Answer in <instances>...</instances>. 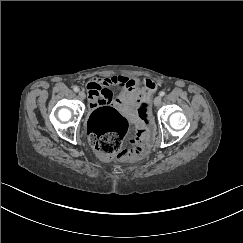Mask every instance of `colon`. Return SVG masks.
Wrapping results in <instances>:
<instances>
[{
  "instance_id": "5ec220e1",
  "label": "colon",
  "mask_w": 243,
  "mask_h": 243,
  "mask_svg": "<svg viewBox=\"0 0 243 243\" xmlns=\"http://www.w3.org/2000/svg\"><path fill=\"white\" fill-rule=\"evenodd\" d=\"M137 114L144 126L136 138L129 140V146L123 147L129 135L127 119L111 106L94 109L88 119V130L91 143L101 156L137 160L147 152L153 131L149 97L142 99Z\"/></svg>"
}]
</instances>
